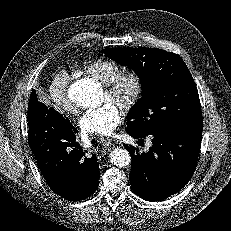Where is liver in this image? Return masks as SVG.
Masks as SVG:
<instances>
[{
    "label": "liver",
    "instance_id": "liver-1",
    "mask_svg": "<svg viewBox=\"0 0 231 231\" xmlns=\"http://www.w3.org/2000/svg\"><path fill=\"white\" fill-rule=\"evenodd\" d=\"M38 98L43 103H45L47 105H50L49 97L46 94H44V92H42V91L40 92L39 91Z\"/></svg>",
    "mask_w": 231,
    "mask_h": 231
}]
</instances>
